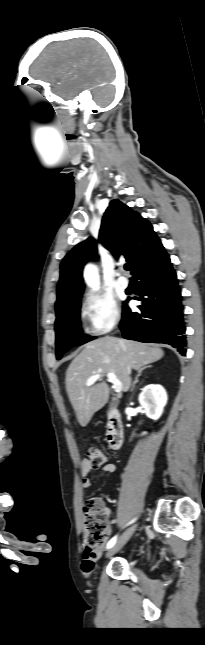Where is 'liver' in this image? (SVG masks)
Segmentation results:
<instances>
[{"label": "liver", "mask_w": 205, "mask_h": 645, "mask_svg": "<svg viewBox=\"0 0 205 645\" xmlns=\"http://www.w3.org/2000/svg\"><path fill=\"white\" fill-rule=\"evenodd\" d=\"M164 355L157 346L105 336L88 342L66 371V391L79 424L85 427L93 414L109 399V387L104 381L108 373L116 375L122 390L131 386V371L160 360ZM100 374L98 383L87 386V380Z\"/></svg>", "instance_id": "obj_1"}]
</instances>
